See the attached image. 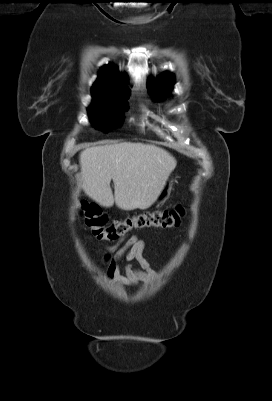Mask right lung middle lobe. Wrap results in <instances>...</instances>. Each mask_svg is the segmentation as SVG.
<instances>
[{
    "label": "right lung middle lobe",
    "instance_id": "dd1d6c3e",
    "mask_svg": "<svg viewBox=\"0 0 272 401\" xmlns=\"http://www.w3.org/2000/svg\"><path fill=\"white\" fill-rule=\"evenodd\" d=\"M128 95L93 100L88 108L92 124L107 132L121 127L124 121V111L128 110V104L124 103Z\"/></svg>",
    "mask_w": 272,
    "mask_h": 401
}]
</instances>
